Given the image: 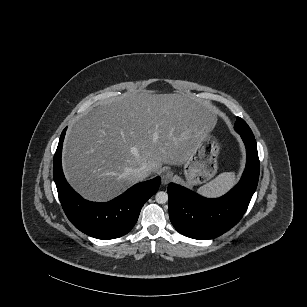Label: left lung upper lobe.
I'll list each match as a JSON object with an SVG mask.
<instances>
[{
	"label": "left lung upper lobe",
	"mask_w": 307,
	"mask_h": 307,
	"mask_svg": "<svg viewBox=\"0 0 307 307\" xmlns=\"http://www.w3.org/2000/svg\"><path fill=\"white\" fill-rule=\"evenodd\" d=\"M235 130L237 132L243 131V132H246V133H249V134L252 133V131L249 128V126L247 125V123L243 119H241L240 117H237V121L235 123Z\"/></svg>",
	"instance_id": "obj_1"
}]
</instances>
